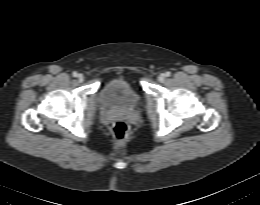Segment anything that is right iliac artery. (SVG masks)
<instances>
[{
  "label": "right iliac artery",
  "instance_id": "right-iliac-artery-1",
  "mask_svg": "<svg viewBox=\"0 0 260 205\" xmlns=\"http://www.w3.org/2000/svg\"><path fill=\"white\" fill-rule=\"evenodd\" d=\"M72 75H73V77H77L78 73L77 72H73Z\"/></svg>",
  "mask_w": 260,
  "mask_h": 205
}]
</instances>
